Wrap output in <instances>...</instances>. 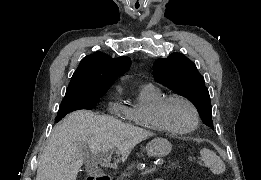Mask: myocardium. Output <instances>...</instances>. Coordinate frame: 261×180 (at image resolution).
Here are the masks:
<instances>
[{"mask_svg":"<svg viewBox=\"0 0 261 180\" xmlns=\"http://www.w3.org/2000/svg\"><path fill=\"white\" fill-rule=\"evenodd\" d=\"M180 102L187 105L193 114L192 125L183 130H175L168 126L160 117L161 110L172 103ZM148 119L155 130V133L161 136H186L197 129L200 123V112L196 104L189 98L182 95L166 96L149 114Z\"/></svg>","mask_w":261,"mask_h":180,"instance_id":"f54148a6","label":"myocardium"}]
</instances>
